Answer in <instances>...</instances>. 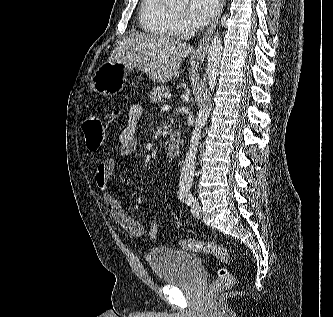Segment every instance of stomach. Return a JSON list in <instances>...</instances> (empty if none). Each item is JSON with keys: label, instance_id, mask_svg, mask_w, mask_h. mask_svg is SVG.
<instances>
[{"label": "stomach", "instance_id": "0dacf381", "mask_svg": "<svg viewBox=\"0 0 333 317\" xmlns=\"http://www.w3.org/2000/svg\"><path fill=\"white\" fill-rule=\"evenodd\" d=\"M129 70V65L107 61L96 70L92 79V88L100 95H114L122 90Z\"/></svg>", "mask_w": 333, "mask_h": 317}]
</instances>
